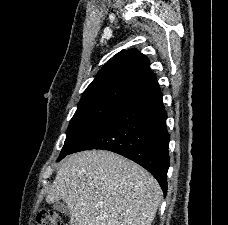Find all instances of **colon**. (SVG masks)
I'll return each instance as SVG.
<instances>
[{
    "instance_id": "obj_1",
    "label": "colon",
    "mask_w": 228,
    "mask_h": 225,
    "mask_svg": "<svg viewBox=\"0 0 228 225\" xmlns=\"http://www.w3.org/2000/svg\"><path fill=\"white\" fill-rule=\"evenodd\" d=\"M36 225H62L59 214L54 209L42 208L35 218Z\"/></svg>"
}]
</instances>
